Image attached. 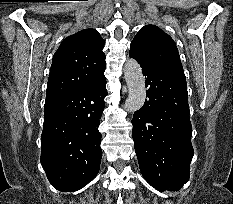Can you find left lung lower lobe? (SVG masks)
I'll return each instance as SVG.
<instances>
[{
    "label": "left lung lower lobe",
    "instance_id": "left-lung-lower-lobe-1",
    "mask_svg": "<svg viewBox=\"0 0 233 204\" xmlns=\"http://www.w3.org/2000/svg\"><path fill=\"white\" fill-rule=\"evenodd\" d=\"M129 56L141 65L148 88L132 119L141 173L156 189L179 188L189 180L194 153L185 74Z\"/></svg>",
    "mask_w": 233,
    "mask_h": 204
}]
</instances>
